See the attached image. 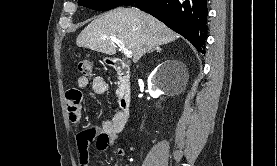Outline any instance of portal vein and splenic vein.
<instances>
[{
  "label": "portal vein and splenic vein",
  "instance_id": "obj_1",
  "mask_svg": "<svg viewBox=\"0 0 277 166\" xmlns=\"http://www.w3.org/2000/svg\"><path fill=\"white\" fill-rule=\"evenodd\" d=\"M103 39H109L113 43L117 44L127 58H132V52L129 51L119 39L112 36H103Z\"/></svg>",
  "mask_w": 277,
  "mask_h": 166
}]
</instances>
